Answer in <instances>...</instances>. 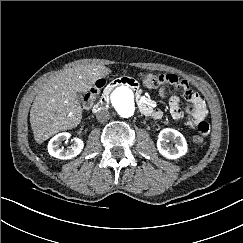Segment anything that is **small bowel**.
Instances as JSON below:
<instances>
[{"mask_svg":"<svg viewBox=\"0 0 243 243\" xmlns=\"http://www.w3.org/2000/svg\"><path fill=\"white\" fill-rule=\"evenodd\" d=\"M167 79L166 83L158 90L159 96L169 99V109L171 117L180 121L183 118V112L179 106V97L177 95H170L166 88V85L173 86L177 91L181 92L188 102L186 112L188 115L187 122L190 126L197 129V131L207 136L210 133V125L206 121L207 108L204 100L201 96L194 91L186 80L179 79L175 74H165ZM154 112L151 115L153 118H161L163 113L159 109H153Z\"/></svg>","mask_w":243,"mask_h":243,"instance_id":"c3829d8e","label":"small bowel"}]
</instances>
